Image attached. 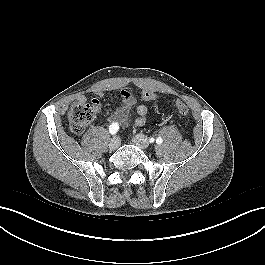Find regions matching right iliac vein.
<instances>
[{
    "instance_id": "1",
    "label": "right iliac vein",
    "mask_w": 265,
    "mask_h": 265,
    "mask_svg": "<svg viewBox=\"0 0 265 265\" xmlns=\"http://www.w3.org/2000/svg\"><path fill=\"white\" fill-rule=\"evenodd\" d=\"M109 149L114 151L120 146V139L118 137H113L109 142Z\"/></svg>"
}]
</instances>
